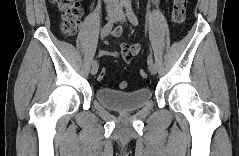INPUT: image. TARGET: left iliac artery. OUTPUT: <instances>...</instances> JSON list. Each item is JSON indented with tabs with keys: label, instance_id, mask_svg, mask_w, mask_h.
I'll use <instances>...</instances> for the list:
<instances>
[{
	"label": "left iliac artery",
	"instance_id": "1",
	"mask_svg": "<svg viewBox=\"0 0 239 156\" xmlns=\"http://www.w3.org/2000/svg\"><path fill=\"white\" fill-rule=\"evenodd\" d=\"M125 8H126V12H127V16H128V19L130 20V22L133 24V25H138L139 22H138V18L137 16L135 15L133 9H132V5L130 2H127L125 4ZM147 63L148 65H152L153 64V58L151 55L148 56V59H147Z\"/></svg>",
	"mask_w": 239,
	"mask_h": 156
}]
</instances>
